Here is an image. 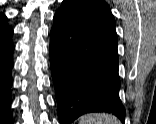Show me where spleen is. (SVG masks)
I'll use <instances>...</instances> for the list:
<instances>
[{
  "mask_svg": "<svg viewBox=\"0 0 156 124\" xmlns=\"http://www.w3.org/2000/svg\"><path fill=\"white\" fill-rule=\"evenodd\" d=\"M79 124H121L113 115L107 113H92L80 118Z\"/></svg>",
  "mask_w": 156,
  "mask_h": 124,
  "instance_id": "spleen-1",
  "label": "spleen"
}]
</instances>
